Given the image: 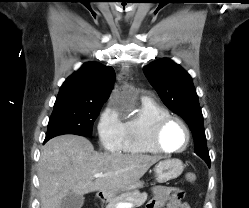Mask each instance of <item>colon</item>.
<instances>
[{"mask_svg": "<svg viewBox=\"0 0 249 208\" xmlns=\"http://www.w3.org/2000/svg\"><path fill=\"white\" fill-rule=\"evenodd\" d=\"M186 180L189 183H194L196 181V175L194 173H188L186 175Z\"/></svg>", "mask_w": 249, "mask_h": 208, "instance_id": "5ec220e1", "label": "colon"}]
</instances>
